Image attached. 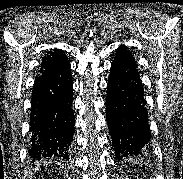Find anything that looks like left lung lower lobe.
Wrapping results in <instances>:
<instances>
[{
    "instance_id": "0a47b994",
    "label": "left lung lower lobe",
    "mask_w": 183,
    "mask_h": 179,
    "mask_svg": "<svg viewBox=\"0 0 183 179\" xmlns=\"http://www.w3.org/2000/svg\"><path fill=\"white\" fill-rule=\"evenodd\" d=\"M106 117L116 158L139 155L149 147L144 89L133 55L120 46L111 64Z\"/></svg>"
}]
</instances>
